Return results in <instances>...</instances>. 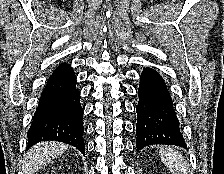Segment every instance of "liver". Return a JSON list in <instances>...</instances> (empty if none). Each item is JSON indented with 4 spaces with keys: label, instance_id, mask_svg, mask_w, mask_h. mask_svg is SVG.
<instances>
[{
    "label": "liver",
    "instance_id": "liver-1",
    "mask_svg": "<svg viewBox=\"0 0 224 174\" xmlns=\"http://www.w3.org/2000/svg\"><path fill=\"white\" fill-rule=\"evenodd\" d=\"M67 148L66 144L55 141H44L34 145L25 155L22 171L24 174H34L52 159L63 154Z\"/></svg>",
    "mask_w": 224,
    "mask_h": 174
}]
</instances>
